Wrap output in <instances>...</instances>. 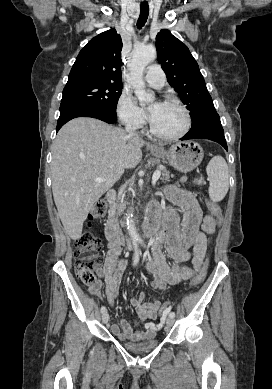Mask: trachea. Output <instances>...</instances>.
Listing matches in <instances>:
<instances>
[{
	"label": "trachea",
	"mask_w": 272,
	"mask_h": 389,
	"mask_svg": "<svg viewBox=\"0 0 272 389\" xmlns=\"http://www.w3.org/2000/svg\"><path fill=\"white\" fill-rule=\"evenodd\" d=\"M148 14H149V6H148V4H141V6H140V15H139V18H138V21H137V27L139 29H141L145 25V23H146V21L148 19Z\"/></svg>",
	"instance_id": "3493384b"
}]
</instances>
